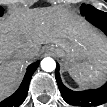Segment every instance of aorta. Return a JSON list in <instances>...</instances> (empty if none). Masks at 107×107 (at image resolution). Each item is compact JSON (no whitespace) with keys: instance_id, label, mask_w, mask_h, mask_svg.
Returning a JSON list of instances; mask_svg holds the SVG:
<instances>
[{"instance_id":"762f6f07","label":"aorta","mask_w":107,"mask_h":107,"mask_svg":"<svg viewBox=\"0 0 107 107\" xmlns=\"http://www.w3.org/2000/svg\"><path fill=\"white\" fill-rule=\"evenodd\" d=\"M41 67L45 72H52L56 68V63L52 58H44L41 62Z\"/></svg>"}]
</instances>
